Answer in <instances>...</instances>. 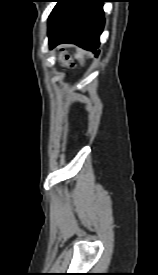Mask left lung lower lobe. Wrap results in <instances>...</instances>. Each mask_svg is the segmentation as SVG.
Segmentation results:
<instances>
[{"label":"left lung lower lobe","instance_id":"1","mask_svg":"<svg viewBox=\"0 0 158 275\" xmlns=\"http://www.w3.org/2000/svg\"><path fill=\"white\" fill-rule=\"evenodd\" d=\"M48 19L49 47L73 43L93 51L100 44L104 28V0H56Z\"/></svg>","mask_w":158,"mask_h":275}]
</instances>
